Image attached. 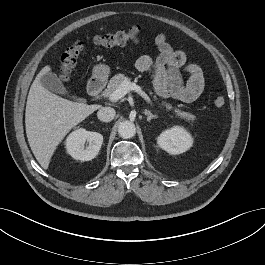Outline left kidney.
Wrapping results in <instances>:
<instances>
[{
	"mask_svg": "<svg viewBox=\"0 0 265 265\" xmlns=\"http://www.w3.org/2000/svg\"><path fill=\"white\" fill-rule=\"evenodd\" d=\"M158 145L170 154H181L193 145V138L183 127L174 126L157 138Z\"/></svg>",
	"mask_w": 265,
	"mask_h": 265,
	"instance_id": "1",
	"label": "left kidney"
}]
</instances>
